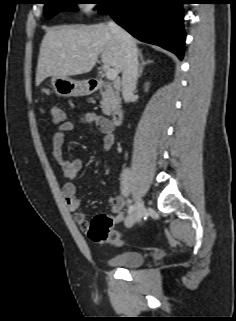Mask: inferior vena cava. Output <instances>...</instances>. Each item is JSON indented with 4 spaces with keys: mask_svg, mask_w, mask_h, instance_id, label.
Wrapping results in <instances>:
<instances>
[{
    "mask_svg": "<svg viewBox=\"0 0 236 321\" xmlns=\"http://www.w3.org/2000/svg\"><path fill=\"white\" fill-rule=\"evenodd\" d=\"M108 26L124 53L122 96L125 102H130L138 78V50L133 38L114 21H110Z\"/></svg>",
    "mask_w": 236,
    "mask_h": 321,
    "instance_id": "inferior-vena-cava-1",
    "label": "inferior vena cava"
}]
</instances>
